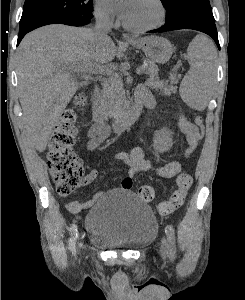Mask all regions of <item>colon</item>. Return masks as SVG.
<instances>
[{"mask_svg":"<svg viewBox=\"0 0 245 300\" xmlns=\"http://www.w3.org/2000/svg\"><path fill=\"white\" fill-rule=\"evenodd\" d=\"M83 98L77 97L75 106L83 104ZM196 125L201 132L204 125L200 117H197ZM77 113L74 108L66 109L53 130L48 144V167L60 195H69L80 187L84 180L83 164L73 151L77 133ZM177 188L170 198L159 205L162 215H169L181 207L186 194L192 185V177L188 173H181L176 180ZM141 200L149 202L154 198V189L149 185H143L138 189Z\"/></svg>","mask_w":245,"mask_h":300,"instance_id":"obj_1","label":"colon"}]
</instances>
